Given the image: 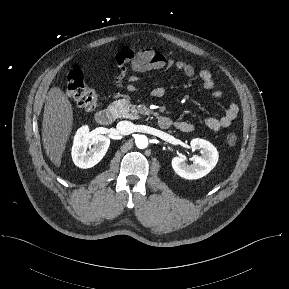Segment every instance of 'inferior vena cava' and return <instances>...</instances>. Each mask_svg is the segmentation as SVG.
I'll list each match as a JSON object with an SVG mask.
<instances>
[{
    "label": "inferior vena cava",
    "instance_id": "inferior-vena-cava-1",
    "mask_svg": "<svg viewBox=\"0 0 289 289\" xmlns=\"http://www.w3.org/2000/svg\"><path fill=\"white\" fill-rule=\"evenodd\" d=\"M116 127L122 135H128L134 132V124L129 121H120Z\"/></svg>",
    "mask_w": 289,
    "mask_h": 289
}]
</instances>
